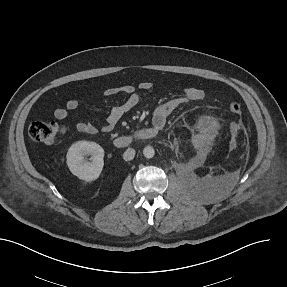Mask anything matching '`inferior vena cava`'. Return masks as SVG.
I'll list each match as a JSON object with an SVG mask.
<instances>
[{
	"instance_id": "inferior-vena-cava-1",
	"label": "inferior vena cava",
	"mask_w": 287,
	"mask_h": 287,
	"mask_svg": "<svg viewBox=\"0 0 287 287\" xmlns=\"http://www.w3.org/2000/svg\"><path fill=\"white\" fill-rule=\"evenodd\" d=\"M136 151L133 148H128L124 154H123V159L125 161L132 160L135 156Z\"/></svg>"
}]
</instances>
